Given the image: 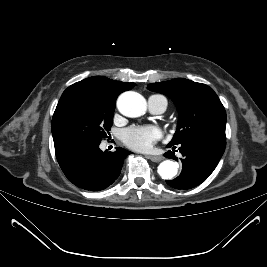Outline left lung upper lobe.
I'll return each instance as SVG.
<instances>
[{
  "label": "left lung upper lobe",
  "mask_w": 267,
  "mask_h": 267,
  "mask_svg": "<svg viewBox=\"0 0 267 267\" xmlns=\"http://www.w3.org/2000/svg\"><path fill=\"white\" fill-rule=\"evenodd\" d=\"M148 89L167 95L174 101L179 112L177 131L169 146L203 137L226 140L225 109L209 86L177 78L151 83Z\"/></svg>",
  "instance_id": "1"
}]
</instances>
